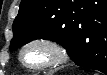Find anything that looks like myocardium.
I'll use <instances>...</instances> for the list:
<instances>
[{
    "label": "myocardium",
    "instance_id": "1",
    "mask_svg": "<svg viewBox=\"0 0 107 75\" xmlns=\"http://www.w3.org/2000/svg\"><path fill=\"white\" fill-rule=\"evenodd\" d=\"M36 46H40L49 50L53 54L52 60L43 64H39V65L28 64L24 59L25 52L28 49L32 47H36ZM68 59H69V52L66 46L62 44L61 42L50 37L32 38L28 40L26 43H24L19 51V60L21 64L27 69L35 70V71L51 69V68L60 66L66 63Z\"/></svg>",
    "mask_w": 107,
    "mask_h": 75
}]
</instances>
